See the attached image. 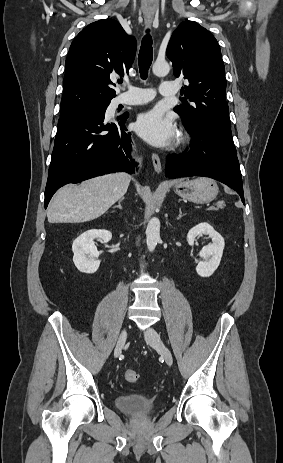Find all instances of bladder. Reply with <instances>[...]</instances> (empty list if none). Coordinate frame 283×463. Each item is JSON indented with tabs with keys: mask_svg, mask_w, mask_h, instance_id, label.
<instances>
[{
	"mask_svg": "<svg viewBox=\"0 0 283 463\" xmlns=\"http://www.w3.org/2000/svg\"><path fill=\"white\" fill-rule=\"evenodd\" d=\"M115 404L119 411L133 417L148 416L157 407L154 397L136 393L118 395L115 398Z\"/></svg>",
	"mask_w": 283,
	"mask_h": 463,
	"instance_id": "31cf9c89",
	"label": "bladder"
}]
</instances>
